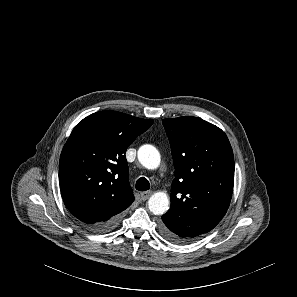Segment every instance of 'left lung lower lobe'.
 <instances>
[{"instance_id": "left-lung-lower-lobe-1", "label": "left lung lower lobe", "mask_w": 297, "mask_h": 297, "mask_svg": "<svg viewBox=\"0 0 297 297\" xmlns=\"http://www.w3.org/2000/svg\"><path fill=\"white\" fill-rule=\"evenodd\" d=\"M162 225H161V232L168 240L176 243H186L189 242L188 240H185L181 238L177 234V230L175 229V226L173 225V221L170 218V216L163 215L162 216Z\"/></svg>"}]
</instances>
